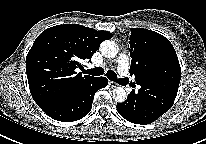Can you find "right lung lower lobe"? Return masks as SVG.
I'll list each match as a JSON object with an SVG mask.
<instances>
[{
	"label": "right lung lower lobe",
	"mask_w": 206,
	"mask_h": 144,
	"mask_svg": "<svg viewBox=\"0 0 206 144\" xmlns=\"http://www.w3.org/2000/svg\"><path fill=\"white\" fill-rule=\"evenodd\" d=\"M107 84V78L96 77L77 92L56 100L41 109L57 121L72 122L79 120L90 112L96 91L107 86Z\"/></svg>",
	"instance_id": "98d812e1"
}]
</instances>
